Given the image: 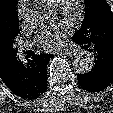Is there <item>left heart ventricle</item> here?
<instances>
[{
	"mask_svg": "<svg viewBox=\"0 0 113 113\" xmlns=\"http://www.w3.org/2000/svg\"><path fill=\"white\" fill-rule=\"evenodd\" d=\"M69 6H70V10H71V11H74V10L76 9V3H75V1L72 0V1L70 2Z\"/></svg>",
	"mask_w": 113,
	"mask_h": 113,
	"instance_id": "1",
	"label": "left heart ventricle"
}]
</instances>
